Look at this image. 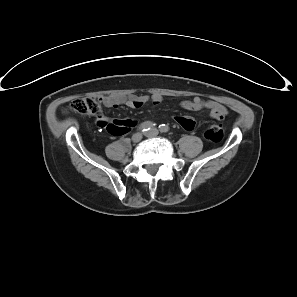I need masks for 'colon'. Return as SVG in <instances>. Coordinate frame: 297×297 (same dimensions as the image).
<instances>
[{
	"mask_svg": "<svg viewBox=\"0 0 297 297\" xmlns=\"http://www.w3.org/2000/svg\"><path fill=\"white\" fill-rule=\"evenodd\" d=\"M70 109L79 114L102 117V101L99 98H80L70 103ZM221 125H212L205 131V138L210 142H219L223 138Z\"/></svg>",
	"mask_w": 297,
	"mask_h": 297,
	"instance_id": "obj_1",
	"label": "colon"
}]
</instances>
